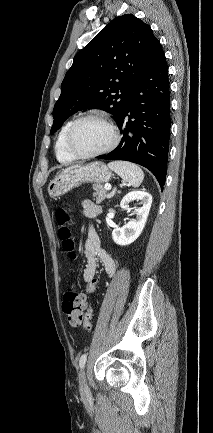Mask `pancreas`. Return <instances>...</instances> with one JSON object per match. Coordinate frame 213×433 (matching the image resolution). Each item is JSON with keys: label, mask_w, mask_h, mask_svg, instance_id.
<instances>
[{"label": "pancreas", "mask_w": 213, "mask_h": 433, "mask_svg": "<svg viewBox=\"0 0 213 433\" xmlns=\"http://www.w3.org/2000/svg\"><path fill=\"white\" fill-rule=\"evenodd\" d=\"M94 191L95 192L93 193V197L96 203L98 204L101 203L107 197V192L102 185H95Z\"/></svg>", "instance_id": "cf45deb5"}]
</instances>
